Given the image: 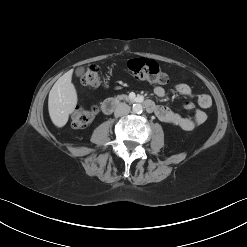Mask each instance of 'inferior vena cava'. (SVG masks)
<instances>
[{
  "label": "inferior vena cava",
  "instance_id": "602c4592",
  "mask_svg": "<svg viewBox=\"0 0 247 247\" xmlns=\"http://www.w3.org/2000/svg\"><path fill=\"white\" fill-rule=\"evenodd\" d=\"M130 112V107L126 103H120L116 109L114 115L116 117L128 115Z\"/></svg>",
  "mask_w": 247,
  "mask_h": 247
}]
</instances>
